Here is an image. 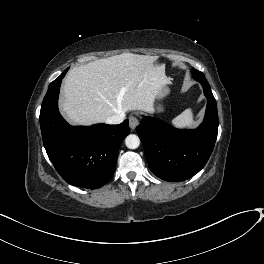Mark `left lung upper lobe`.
Returning <instances> with one entry per match:
<instances>
[{
	"instance_id": "5c2ea615",
	"label": "left lung upper lobe",
	"mask_w": 264,
	"mask_h": 264,
	"mask_svg": "<svg viewBox=\"0 0 264 264\" xmlns=\"http://www.w3.org/2000/svg\"><path fill=\"white\" fill-rule=\"evenodd\" d=\"M191 72L193 76H204L202 72L196 70L195 68H192Z\"/></svg>"
}]
</instances>
